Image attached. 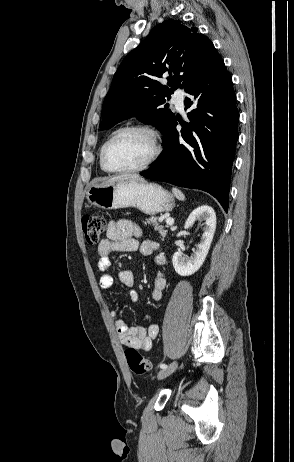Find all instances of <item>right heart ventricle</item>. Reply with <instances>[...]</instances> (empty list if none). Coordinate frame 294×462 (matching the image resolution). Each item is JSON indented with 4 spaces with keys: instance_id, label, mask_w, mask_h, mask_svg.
<instances>
[{
    "instance_id": "right-heart-ventricle-1",
    "label": "right heart ventricle",
    "mask_w": 294,
    "mask_h": 462,
    "mask_svg": "<svg viewBox=\"0 0 294 462\" xmlns=\"http://www.w3.org/2000/svg\"><path fill=\"white\" fill-rule=\"evenodd\" d=\"M101 151V150H100ZM99 161H100V153H99ZM100 167H101V163H100ZM101 169L103 170V168L101 167Z\"/></svg>"
}]
</instances>
